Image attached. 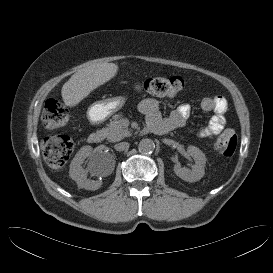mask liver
I'll use <instances>...</instances> for the list:
<instances>
[{
	"label": "liver",
	"mask_w": 273,
	"mask_h": 273,
	"mask_svg": "<svg viewBox=\"0 0 273 273\" xmlns=\"http://www.w3.org/2000/svg\"><path fill=\"white\" fill-rule=\"evenodd\" d=\"M115 63H102L80 69L63 85L61 95L65 105H78L91 91L111 80L118 72Z\"/></svg>",
	"instance_id": "1"
}]
</instances>
